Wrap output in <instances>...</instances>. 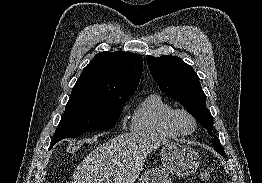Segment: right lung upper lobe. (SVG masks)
I'll list each match as a JSON object with an SVG mask.
<instances>
[{"label":"right lung upper lobe","instance_id":"cb5924a9","mask_svg":"<svg viewBox=\"0 0 262 183\" xmlns=\"http://www.w3.org/2000/svg\"><path fill=\"white\" fill-rule=\"evenodd\" d=\"M143 70L141 56L131 52H100L83 69L71 95L130 98Z\"/></svg>","mask_w":262,"mask_h":183}]
</instances>
